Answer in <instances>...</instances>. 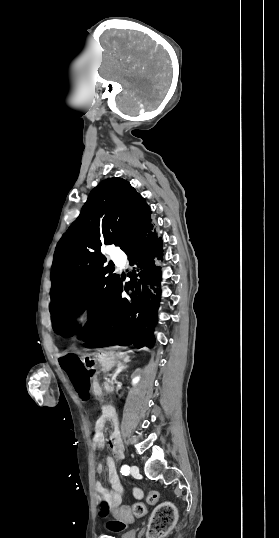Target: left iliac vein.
Masks as SVG:
<instances>
[{"label": "left iliac vein", "instance_id": "1", "mask_svg": "<svg viewBox=\"0 0 279 538\" xmlns=\"http://www.w3.org/2000/svg\"><path fill=\"white\" fill-rule=\"evenodd\" d=\"M130 473L132 476H138L139 475V468L136 465H132L130 468Z\"/></svg>", "mask_w": 279, "mask_h": 538}]
</instances>
